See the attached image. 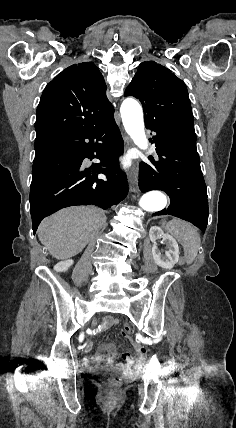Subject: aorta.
Here are the masks:
<instances>
[{
    "label": "aorta",
    "mask_w": 236,
    "mask_h": 428,
    "mask_svg": "<svg viewBox=\"0 0 236 428\" xmlns=\"http://www.w3.org/2000/svg\"><path fill=\"white\" fill-rule=\"evenodd\" d=\"M122 122L128 135L140 149L148 148V141L144 130L143 110L140 104L133 98L123 101L120 108ZM167 205L166 196L160 191H150L145 193L139 206L148 212H159Z\"/></svg>",
    "instance_id": "1"
}]
</instances>
